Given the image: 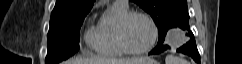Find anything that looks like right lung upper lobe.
<instances>
[{"mask_svg": "<svg viewBox=\"0 0 242 64\" xmlns=\"http://www.w3.org/2000/svg\"><path fill=\"white\" fill-rule=\"evenodd\" d=\"M95 0H57L50 20L68 18L87 13Z\"/></svg>", "mask_w": 242, "mask_h": 64, "instance_id": "obj_1", "label": "right lung upper lobe"}]
</instances>
